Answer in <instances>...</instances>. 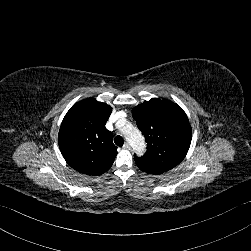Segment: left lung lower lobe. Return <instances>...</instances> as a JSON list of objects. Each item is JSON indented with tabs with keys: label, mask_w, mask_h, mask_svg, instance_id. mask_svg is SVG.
<instances>
[{
	"label": "left lung lower lobe",
	"mask_w": 251,
	"mask_h": 251,
	"mask_svg": "<svg viewBox=\"0 0 251 251\" xmlns=\"http://www.w3.org/2000/svg\"><path fill=\"white\" fill-rule=\"evenodd\" d=\"M135 162L137 166L139 167V169H141L142 171L148 174H161L163 172L170 170V168L154 165V164L145 162L137 157H135Z\"/></svg>",
	"instance_id": "1"
}]
</instances>
